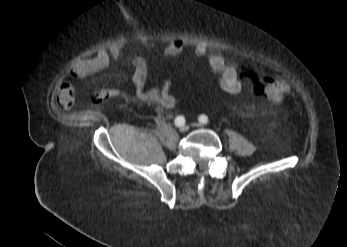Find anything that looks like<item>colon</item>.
<instances>
[{
    "label": "colon",
    "mask_w": 347,
    "mask_h": 247,
    "mask_svg": "<svg viewBox=\"0 0 347 247\" xmlns=\"http://www.w3.org/2000/svg\"><path fill=\"white\" fill-rule=\"evenodd\" d=\"M258 89L262 92V98L270 104L279 103L287 92L286 84L271 72H264L258 78ZM109 91H99L93 96V102L100 104L114 97Z\"/></svg>",
    "instance_id": "1"
}]
</instances>
